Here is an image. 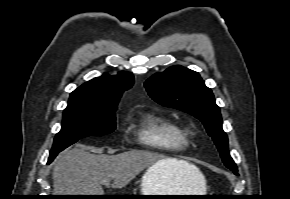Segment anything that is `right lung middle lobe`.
<instances>
[{
  "label": "right lung middle lobe",
  "mask_w": 290,
  "mask_h": 199,
  "mask_svg": "<svg viewBox=\"0 0 290 199\" xmlns=\"http://www.w3.org/2000/svg\"><path fill=\"white\" fill-rule=\"evenodd\" d=\"M116 108L92 110L70 108L63 112L62 128L55 136L50 157L56 155L77 140L94 135H106L116 128Z\"/></svg>",
  "instance_id": "right-lung-middle-lobe-1"
}]
</instances>
